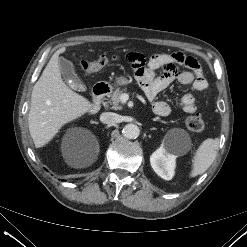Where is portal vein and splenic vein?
Listing matches in <instances>:
<instances>
[{
  "mask_svg": "<svg viewBox=\"0 0 247 247\" xmlns=\"http://www.w3.org/2000/svg\"><path fill=\"white\" fill-rule=\"evenodd\" d=\"M128 99H129L128 94L121 95L120 100H121L122 103H126L128 101Z\"/></svg>",
  "mask_w": 247,
  "mask_h": 247,
  "instance_id": "18ae733b",
  "label": "portal vein and splenic vein"
}]
</instances>
